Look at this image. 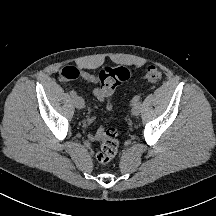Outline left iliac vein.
<instances>
[{"instance_id":"left-iliac-vein-1","label":"left iliac vein","mask_w":216,"mask_h":216,"mask_svg":"<svg viewBox=\"0 0 216 216\" xmlns=\"http://www.w3.org/2000/svg\"><path fill=\"white\" fill-rule=\"evenodd\" d=\"M140 110H141V105L140 103H137V104H134L132 106V114L137 116L139 113H140Z\"/></svg>"}]
</instances>
